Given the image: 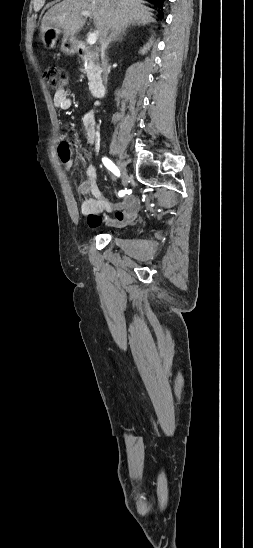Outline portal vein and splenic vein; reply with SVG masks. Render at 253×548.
Masks as SVG:
<instances>
[{
    "label": "portal vein and splenic vein",
    "instance_id": "1",
    "mask_svg": "<svg viewBox=\"0 0 253 548\" xmlns=\"http://www.w3.org/2000/svg\"><path fill=\"white\" fill-rule=\"evenodd\" d=\"M80 14L84 17H90L91 16V14L88 11H81ZM97 38H98V33L97 32L90 33L88 38H87V44L90 45V46L94 45L97 41Z\"/></svg>",
    "mask_w": 253,
    "mask_h": 548
}]
</instances>
